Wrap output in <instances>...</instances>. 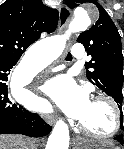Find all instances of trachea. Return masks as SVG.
<instances>
[{
  "label": "trachea",
  "mask_w": 124,
  "mask_h": 149,
  "mask_svg": "<svg viewBox=\"0 0 124 149\" xmlns=\"http://www.w3.org/2000/svg\"><path fill=\"white\" fill-rule=\"evenodd\" d=\"M66 59H67L68 61L72 60V55H71L70 53H68Z\"/></svg>",
  "instance_id": "obj_1"
}]
</instances>
